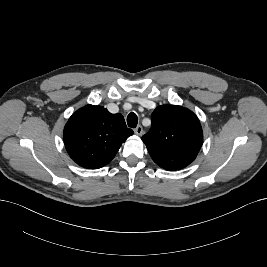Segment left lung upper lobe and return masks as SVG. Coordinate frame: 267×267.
Returning <instances> with one entry per match:
<instances>
[{"instance_id": "1", "label": "left lung upper lobe", "mask_w": 267, "mask_h": 267, "mask_svg": "<svg viewBox=\"0 0 267 267\" xmlns=\"http://www.w3.org/2000/svg\"><path fill=\"white\" fill-rule=\"evenodd\" d=\"M142 141L153 161L171 171L183 169L194 161L203 143V133L192 111L162 105L152 113L151 129Z\"/></svg>"}]
</instances>
